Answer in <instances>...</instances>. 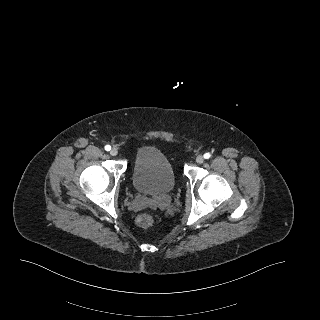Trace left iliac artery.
Returning a JSON list of instances; mask_svg holds the SVG:
<instances>
[{"label":"left iliac artery","instance_id":"left-iliac-artery-1","mask_svg":"<svg viewBox=\"0 0 320 320\" xmlns=\"http://www.w3.org/2000/svg\"><path fill=\"white\" fill-rule=\"evenodd\" d=\"M210 157H211V155H210L209 153H205V154H204V158H205V159H209Z\"/></svg>","mask_w":320,"mask_h":320}]
</instances>
